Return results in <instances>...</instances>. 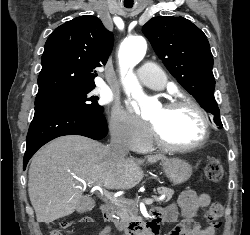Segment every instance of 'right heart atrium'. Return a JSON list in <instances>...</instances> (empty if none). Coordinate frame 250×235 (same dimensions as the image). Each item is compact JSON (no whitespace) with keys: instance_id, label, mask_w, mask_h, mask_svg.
I'll return each mask as SVG.
<instances>
[{"instance_id":"d8ad5b80","label":"right heart atrium","mask_w":250,"mask_h":235,"mask_svg":"<svg viewBox=\"0 0 250 235\" xmlns=\"http://www.w3.org/2000/svg\"><path fill=\"white\" fill-rule=\"evenodd\" d=\"M112 138L129 150H141L150 142L149 131L119 107H114L108 122Z\"/></svg>"}]
</instances>
